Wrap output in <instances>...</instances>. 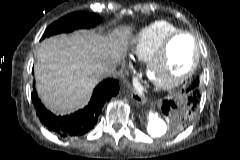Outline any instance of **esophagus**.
Listing matches in <instances>:
<instances>
[{"label": "esophagus", "mask_w": 240, "mask_h": 160, "mask_svg": "<svg viewBox=\"0 0 240 160\" xmlns=\"http://www.w3.org/2000/svg\"><path fill=\"white\" fill-rule=\"evenodd\" d=\"M131 99L133 101H135L138 104H144L146 103V97L145 94L143 93V91L141 89H135L132 93H131Z\"/></svg>", "instance_id": "34e87169"}]
</instances>
